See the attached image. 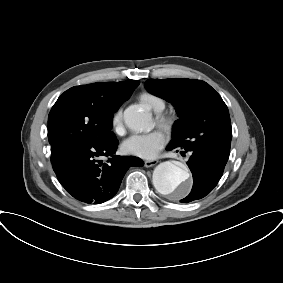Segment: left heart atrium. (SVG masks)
Returning <instances> with one entry per match:
<instances>
[{
	"label": "left heart atrium",
	"instance_id": "1",
	"mask_svg": "<svg viewBox=\"0 0 283 283\" xmlns=\"http://www.w3.org/2000/svg\"><path fill=\"white\" fill-rule=\"evenodd\" d=\"M166 137L161 130L148 134H134L123 142L125 153L142 159H153L163 148Z\"/></svg>",
	"mask_w": 283,
	"mask_h": 283
}]
</instances>
